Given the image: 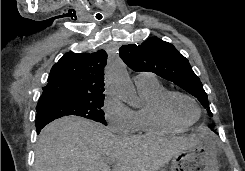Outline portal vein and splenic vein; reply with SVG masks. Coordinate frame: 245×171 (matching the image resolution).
Returning <instances> with one entry per match:
<instances>
[{
  "instance_id": "obj_1",
  "label": "portal vein and splenic vein",
  "mask_w": 245,
  "mask_h": 171,
  "mask_svg": "<svg viewBox=\"0 0 245 171\" xmlns=\"http://www.w3.org/2000/svg\"><path fill=\"white\" fill-rule=\"evenodd\" d=\"M108 162H109V163H113L114 161H112V160H109Z\"/></svg>"
}]
</instances>
